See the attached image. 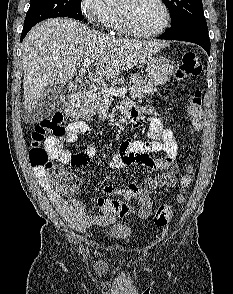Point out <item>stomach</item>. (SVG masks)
I'll list each match as a JSON object with an SVG mask.
<instances>
[{"label":"stomach","instance_id":"0dacf381","mask_svg":"<svg viewBox=\"0 0 233 294\" xmlns=\"http://www.w3.org/2000/svg\"><path fill=\"white\" fill-rule=\"evenodd\" d=\"M146 64L149 81L154 85L165 84L173 75L174 67L165 57H150Z\"/></svg>","mask_w":233,"mask_h":294}]
</instances>
